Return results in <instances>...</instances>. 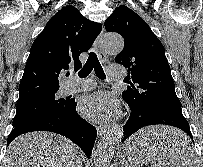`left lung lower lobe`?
<instances>
[{
  "label": "left lung lower lobe",
  "mask_w": 203,
  "mask_h": 167,
  "mask_svg": "<svg viewBox=\"0 0 203 167\" xmlns=\"http://www.w3.org/2000/svg\"><path fill=\"white\" fill-rule=\"evenodd\" d=\"M129 106V105H128ZM129 110L131 111L130 117L126 122L124 129V140H126L129 136L135 133L142 127L148 125H170L177 127L184 131L192 140V134L190 131L189 123L186 118L182 114L181 108H169L164 109L155 113H146L141 111L139 108L134 106H129ZM187 142L179 143L178 148L187 150L190 147V139L188 137ZM167 142V141H166ZM160 144L159 140L154 138L144 139L143 142L136 144L133 146V150H140L144 148H156Z\"/></svg>",
  "instance_id": "1"
}]
</instances>
